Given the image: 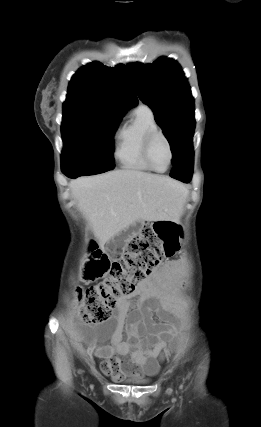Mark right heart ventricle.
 I'll list each match as a JSON object with an SVG mask.
<instances>
[{
  "mask_svg": "<svg viewBox=\"0 0 261 427\" xmlns=\"http://www.w3.org/2000/svg\"><path fill=\"white\" fill-rule=\"evenodd\" d=\"M158 129L152 111L138 106L130 121L119 130L116 138L115 158L121 167L135 171H151L143 157V143L146 135Z\"/></svg>",
  "mask_w": 261,
  "mask_h": 427,
  "instance_id": "1",
  "label": "right heart ventricle"
}]
</instances>
